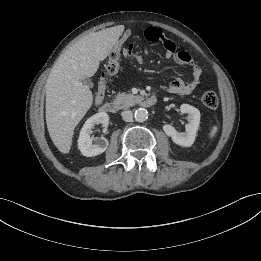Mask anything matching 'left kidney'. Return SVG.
Wrapping results in <instances>:
<instances>
[{
  "label": "left kidney",
  "instance_id": "obj_1",
  "mask_svg": "<svg viewBox=\"0 0 261 261\" xmlns=\"http://www.w3.org/2000/svg\"><path fill=\"white\" fill-rule=\"evenodd\" d=\"M181 113L188 114V124L185 125V132H177L176 129L166 124L163 126L165 134L172 138V141L183 147H190L196 138V133L200 124V111L189 105L182 104L180 106Z\"/></svg>",
  "mask_w": 261,
  "mask_h": 261
}]
</instances>
